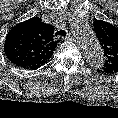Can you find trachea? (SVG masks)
<instances>
[{
    "instance_id": "3493384b",
    "label": "trachea",
    "mask_w": 118,
    "mask_h": 118,
    "mask_svg": "<svg viewBox=\"0 0 118 118\" xmlns=\"http://www.w3.org/2000/svg\"><path fill=\"white\" fill-rule=\"evenodd\" d=\"M55 36H66V31L65 30H59L55 32Z\"/></svg>"
}]
</instances>
